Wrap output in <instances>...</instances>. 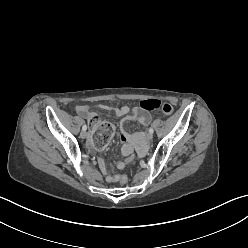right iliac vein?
I'll list each match as a JSON object with an SVG mask.
<instances>
[{
    "label": "right iliac vein",
    "mask_w": 248,
    "mask_h": 248,
    "mask_svg": "<svg viewBox=\"0 0 248 248\" xmlns=\"http://www.w3.org/2000/svg\"><path fill=\"white\" fill-rule=\"evenodd\" d=\"M81 138L85 139L87 137V132L86 131H82L80 134Z\"/></svg>",
    "instance_id": "1"
}]
</instances>
